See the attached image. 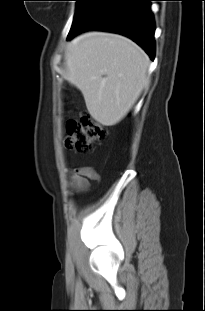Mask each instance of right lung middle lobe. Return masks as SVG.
Instances as JSON below:
<instances>
[{
  "label": "right lung middle lobe",
  "instance_id": "dd1d6c3e",
  "mask_svg": "<svg viewBox=\"0 0 205 311\" xmlns=\"http://www.w3.org/2000/svg\"><path fill=\"white\" fill-rule=\"evenodd\" d=\"M76 1H78V4H77V9H76L75 18H74L72 27L79 21L80 16L85 11L90 0H76Z\"/></svg>",
  "mask_w": 205,
  "mask_h": 311
}]
</instances>
